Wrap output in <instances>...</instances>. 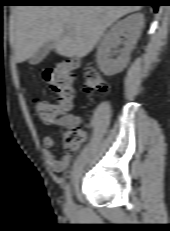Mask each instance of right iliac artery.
Returning a JSON list of instances; mask_svg holds the SVG:
<instances>
[{"label": "right iliac artery", "instance_id": "82829eb1", "mask_svg": "<svg viewBox=\"0 0 170 231\" xmlns=\"http://www.w3.org/2000/svg\"><path fill=\"white\" fill-rule=\"evenodd\" d=\"M65 195H66L67 202L70 203L71 202V187L69 184L66 185Z\"/></svg>", "mask_w": 170, "mask_h": 231}]
</instances>
